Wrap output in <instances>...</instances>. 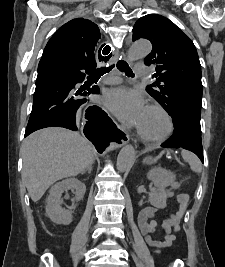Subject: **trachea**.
<instances>
[{
	"label": "trachea",
	"mask_w": 225,
	"mask_h": 267,
	"mask_svg": "<svg viewBox=\"0 0 225 267\" xmlns=\"http://www.w3.org/2000/svg\"><path fill=\"white\" fill-rule=\"evenodd\" d=\"M112 68H113V66L101 67V68L96 69L94 71V73L98 74V75H103V74L109 72ZM117 68L121 72H125L127 76H133V72H132L131 68L129 67V65L125 61H123V60L118 61L117 62Z\"/></svg>",
	"instance_id": "1"
}]
</instances>
